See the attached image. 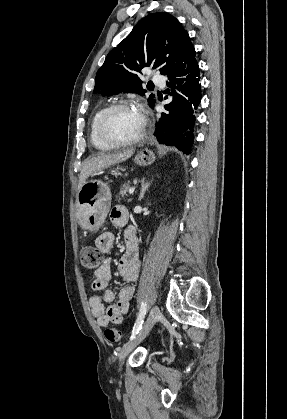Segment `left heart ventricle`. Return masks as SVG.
Returning <instances> with one entry per match:
<instances>
[{
	"instance_id": "1",
	"label": "left heart ventricle",
	"mask_w": 287,
	"mask_h": 419,
	"mask_svg": "<svg viewBox=\"0 0 287 419\" xmlns=\"http://www.w3.org/2000/svg\"><path fill=\"white\" fill-rule=\"evenodd\" d=\"M142 117L133 108L115 111L109 118L106 126L108 134L117 139H131L141 131Z\"/></svg>"
}]
</instances>
